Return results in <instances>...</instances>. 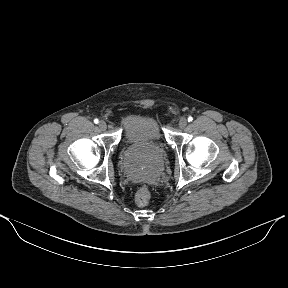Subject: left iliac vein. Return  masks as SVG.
<instances>
[{
  "label": "left iliac vein",
  "instance_id": "obj_1",
  "mask_svg": "<svg viewBox=\"0 0 288 288\" xmlns=\"http://www.w3.org/2000/svg\"><path fill=\"white\" fill-rule=\"evenodd\" d=\"M187 123V119L185 117H182L178 122V126L179 128L184 129L187 126Z\"/></svg>",
  "mask_w": 288,
  "mask_h": 288
}]
</instances>
